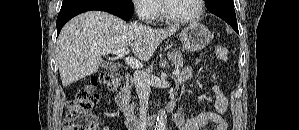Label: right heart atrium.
Instances as JSON below:
<instances>
[{
  "label": "right heart atrium",
  "instance_id": "obj_1",
  "mask_svg": "<svg viewBox=\"0 0 299 130\" xmlns=\"http://www.w3.org/2000/svg\"><path fill=\"white\" fill-rule=\"evenodd\" d=\"M135 11L144 21H152L159 16L160 7L157 0H135Z\"/></svg>",
  "mask_w": 299,
  "mask_h": 130
}]
</instances>
